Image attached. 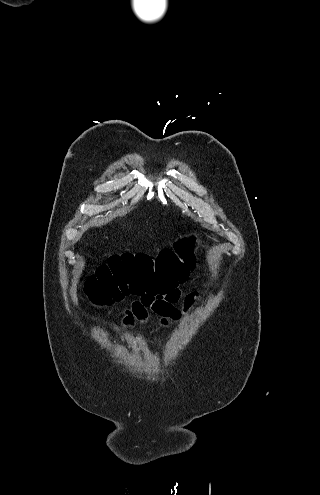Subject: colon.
<instances>
[{
	"instance_id": "colon-1",
	"label": "colon",
	"mask_w": 320,
	"mask_h": 495,
	"mask_svg": "<svg viewBox=\"0 0 320 495\" xmlns=\"http://www.w3.org/2000/svg\"><path fill=\"white\" fill-rule=\"evenodd\" d=\"M199 245L198 238L190 234L156 258L133 253L112 256L87 279L85 294L94 304L108 306L127 293L167 292L193 268Z\"/></svg>"
}]
</instances>
